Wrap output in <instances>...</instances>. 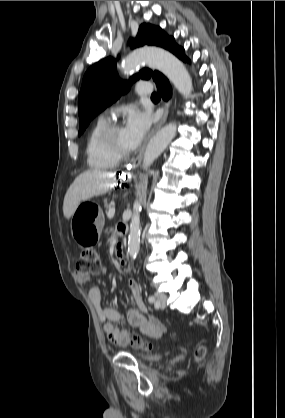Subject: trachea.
Masks as SVG:
<instances>
[{
  "label": "trachea",
  "mask_w": 285,
  "mask_h": 418,
  "mask_svg": "<svg viewBox=\"0 0 285 418\" xmlns=\"http://www.w3.org/2000/svg\"><path fill=\"white\" fill-rule=\"evenodd\" d=\"M151 97H152V98H160V96H159L157 93H153V94L151 95Z\"/></svg>",
  "instance_id": "obj_1"
}]
</instances>
